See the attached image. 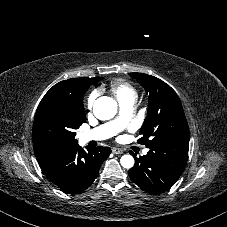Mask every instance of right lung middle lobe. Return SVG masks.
<instances>
[{"label": "right lung middle lobe", "instance_id": "dd1d6c3e", "mask_svg": "<svg viewBox=\"0 0 227 227\" xmlns=\"http://www.w3.org/2000/svg\"><path fill=\"white\" fill-rule=\"evenodd\" d=\"M96 79L95 83L103 78ZM85 121V113L69 105L45 104L38 107L32 134L36 158H44L77 145L74 131Z\"/></svg>", "mask_w": 227, "mask_h": 227}]
</instances>
